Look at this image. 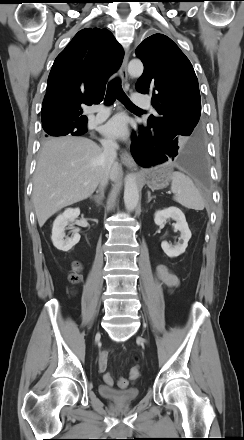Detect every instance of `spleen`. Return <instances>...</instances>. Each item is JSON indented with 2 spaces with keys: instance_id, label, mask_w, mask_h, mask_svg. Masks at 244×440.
<instances>
[{
  "instance_id": "obj_1",
  "label": "spleen",
  "mask_w": 244,
  "mask_h": 440,
  "mask_svg": "<svg viewBox=\"0 0 244 440\" xmlns=\"http://www.w3.org/2000/svg\"><path fill=\"white\" fill-rule=\"evenodd\" d=\"M171 191L174 193L173 199L188 209L196 211L205 208V201L193 181L181 172L171 174Z\"/></svg>"
}]
</instances>
